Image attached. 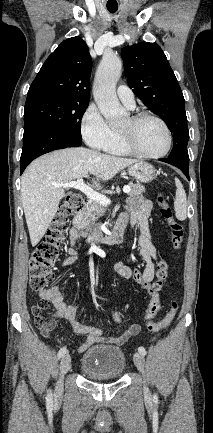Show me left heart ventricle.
<instances>
[{
  "mask_svg": "<svg viewBox=\"0 0 213 433\" xmlns=\"http://www.w3.org/2000/svg\"><path fill=\"white\" fill-rule=\"evenodd\" d=\"M120 131L129 133L136 146L145 153L158 154L166 148V133L154 120L146 119L139 123H132L129 118Z\"/></svg>",
  "mask_w": 213,
  "mask_h": 433,
  "instance_id": "obj_1",
  "label": "left heart ventricle"
}]
</instances>
